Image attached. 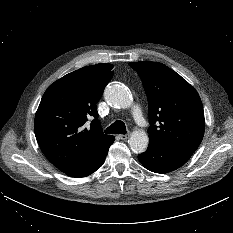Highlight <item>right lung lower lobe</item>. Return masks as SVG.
<instances>
[{
  "mask_svg": "<svg viewBox=\"0 0 233 233\" xmlns=\"http://www.w3.org/2000/svg\"><path fill=\"white\" fill-rule=\"evenodd\" d=\"M114 140H115V138H113L111 140V142L93 159L89 160L85 164H83V165H81L73 170H70V171H67L64 173H66L68 176L78 177V178L85 177V176L92 174L97 169H99L102 166V164L104 163L106 155H107L108 150H109V147L112 145Z\"/></svg>",
  "mask_w": 233,
  "mask_h": 233,
  "instance_id": "obj_1",
  "label": "right lung lower lobe"
}]
</instances>
